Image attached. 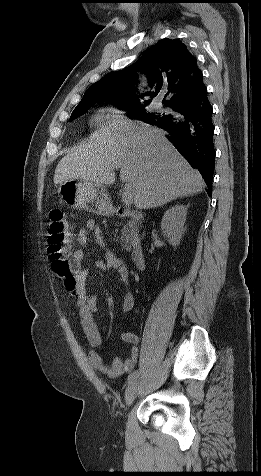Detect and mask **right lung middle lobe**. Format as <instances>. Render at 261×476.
Instances as JSON below:
<instances>
[{
  "instance_id": "dd1d6c3e",
  "label": "right lung middle lobe",
  "mask_w": 261,
  "mask_h": 476,
  "mask_svg": "<svg viewBox=\"0 0 261 476\" xmlns=\"http://www.w3.org/2000/svg\"><path fill=\"white\" fill-rule=\"evenodd\" d=\"M93 105H83L80 107H77L74 109V111L71 114L70 120H73L74 118L83 115L90 107ZM121 109H124L126 111H129L127 115L129 117H132L134 119L142 120L148 123L154 122L157 119H162L163 117L166 116L165 113H151L147 112L145 109V106H138L134 108H128L124 106H118Z\"/></svg>"
}]
</instances>
